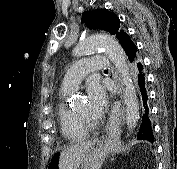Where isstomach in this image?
<instances>
[{"label": "stomach", "mask_w": 177, "mask_h": 169, "mask_svg": "<svg viewBox=\"0 0 177 169\" xmlns=\"http://www.w3.org/2000/svg\"><path fill=\"white\" fill-rule=\"evenodd\" d=\"M112 151V147L108 144H98L89 154L83 159L80 169H101L106 158ZM59 154H55L48 166V169H57L59 162Z\"/></svg>", "instance_id": "1"}]
</instances>
